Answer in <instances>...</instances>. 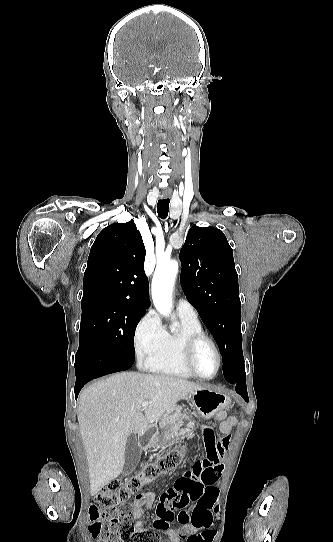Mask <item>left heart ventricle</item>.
Returning a JSON list of instances; mask_svg holds the SVG:
<instances>
[{"label": "left heart ventricle", "mask_w": 333, "mask_h": 542, "mask_svg": "<svg viewBox=\"0 0 333 542\" xmlns=\"http://www.w3.org/2000/svg\"><path fill=\"white\" fill-rule=\"evenodd\" d=\"M193 364L197 372L203 376H211L217 368L216 356L208 343H202L194 354Z\"/></svg>", "instance_id": "1"}]
</instances>
